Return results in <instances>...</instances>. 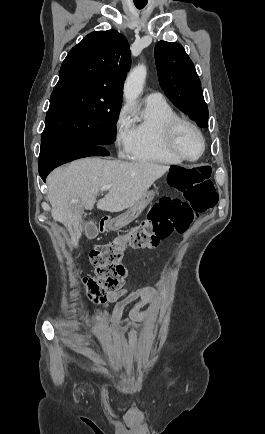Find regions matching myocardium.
<instances>
[{
    "label": "myocardium",
    "mask_w": 265,
    "mask_h": 434,
    "mask_svg": "<svg viewBox=\"0 0 265 434\" xmlns=\"http://www.w3.org/2000/svg\"><path fill=\"white\" fill-rule=\"evenodd\" d=\"M184 127H187L189 129H191L192 131H194L201 141L202 150H201L200 155L196 158L190 159V158L185 157L179 148L178 136L180 135L181 130ZM167 141H168V145H169L172 153L183 163H196V162L200 161L206 153L207 141H206L205 136L203 135V133L199 129V127L196 124H194L193 122H191L185 118L179 117V116L172 119L170 124H169Z\"/></svg>",
    "instance_id": "1"
}]
</instances>
